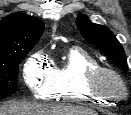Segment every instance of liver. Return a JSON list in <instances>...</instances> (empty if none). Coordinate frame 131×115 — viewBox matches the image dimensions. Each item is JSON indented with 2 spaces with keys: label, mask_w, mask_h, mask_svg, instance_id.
Here are the masks:
<instances>
[{
  "label": "liver",
  "mask_w": 131,
  "mask_h": 115,
  "mask_svg": "<svg viewBox=\"0 0 131 115\" xmlns=\"http://www.w3.org/2000/svg\"><path fill=\"white\" fill-rule=\"evenodd\" d=\"M0 115H98L94 110L79 106L36 104L9 101L0 106Z\"/></svg>",
  "instance_id": "1"
}]
</instances>
